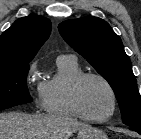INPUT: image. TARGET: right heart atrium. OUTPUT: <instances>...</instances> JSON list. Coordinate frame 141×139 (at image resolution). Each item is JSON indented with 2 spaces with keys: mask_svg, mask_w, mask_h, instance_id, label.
I'll return each instance as SVG.
<instances>
[{
  "mask_svg": "<svg viewBox=\"0 0 141 139\" xmlns=\"http://www.w3.org/2000/svg\"><path fill=\"white\" fill-rule=\"evenodd\" d=\"M36 69H37L36 63L35 62L30 63L28 70H27L28 80H30L35 75ZM40 101H41V99H40Z\"/></svg>",
  "mask_w": 141,
  "mask_h": 139,
  "instance_id": "1",
  "label": "right heart atrium"
}]
</instances>
